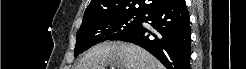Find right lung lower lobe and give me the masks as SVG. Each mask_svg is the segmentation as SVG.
Here are the masks:
<instances>
[{"instance_id": "98d812e1", "label": "right lung lower lobe", "mask_w": 246, "mask_h": 69, "mask_svg": "<svg viewBox=\"0 0 246 69\" xmlns=\"http://www.w3.org/2000/svg\"><path fill=\"white\" fill-rule=\"evenodd\" d=\"M189 22L185 0H166L147 9L140 25L118 40L145 48L167 69H190Z\"/></svg>"}]
</instances>
